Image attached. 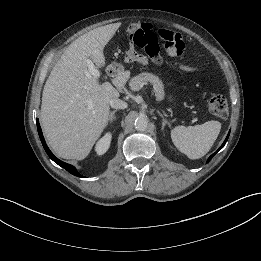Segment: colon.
Returning a JSON list of instances; mask_svg holds the SVG:
<instances>
[{
  "label": "colon",
  "instance_id": "obj_1",
  "mask_svg": "<svg viewBox=\"0 0 261 261\" xmlns=\"http://www.w3.org/2000/svg\"><path fill=\"white\" fill-rule=\"evenodd\" d=\"M126 29L130 34L132 43L144 49L148 58L157 65L162 63L158 36L163 41L168 53L174 56L183 53L184 43L179 34L170 32L168 29L151 27L148 20L143 21L140 25L133 22L129 23ZM183 67L186 69L193 68L190 65H183ZM208 109L212 115L218 118H226L229 113L227 100L221 95L213 96L209 100Z\"/></svg>",
  "mask_w": 261,
  "mask_h": 261
}]
</instances>
